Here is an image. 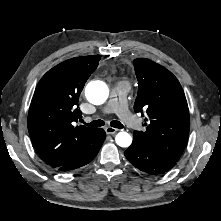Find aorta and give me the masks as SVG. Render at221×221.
Here are the masks:
<instances>
[{
	"label": "aorta",
	"mask_w": 221,
	"mask_h": 221,
	"mask_svg": "<svg viewBox=\"0 0 221 221\" xmlns=\"http://www.w3.org/2000/svg\"><path fill=\"white\" fill-rule=\"evenodd\" d=\"M85 95L90 103L100 105L107 100L109 89L102 81H92L86 86ZM115 141L120 147H129L132 143V137L127 132H119L115 137Z\"/></svg>",
	"instance_id": "1"
}]
</instances>
